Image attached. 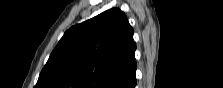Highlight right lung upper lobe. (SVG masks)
I'll return each instance as SVG.
<instances>
[{"mask_svg":"<svg viewBox=\"0 0 223 88\" xmlns=\"http://www.w3.org/2000/svg\"><path fill=\"white\" fill-rule=\"evenodd\" d=\"M135 49L126 15L109 9L65 32L35 88H129Z\"/></svg>","mask_w":223,"mask_h":88,"instance_id":"cb5924a9","label":"right lung upper lobe"}]
</instances>
